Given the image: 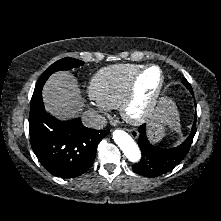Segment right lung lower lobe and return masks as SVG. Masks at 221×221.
I'll return each mask as SVG.
<instances>
[{"instance_id": "obj_1", "label": "right lung lower lobe", "mask_w": 221, "mask_h": 221, "mask_svg": "<svg viewBox=\"0 0 221 221\" xmlns=\"http://www.w3.org/2000/svg\"><path fill=\"white\" fill-rule=\"evenodd\" d=\"M29 132L32 149L43 167L54 176L73 178L91 167L98 143L108 130L87 128L78 118L59 121L51 117L39 89L31 99Z\"/></svg>"}]
</instances>
